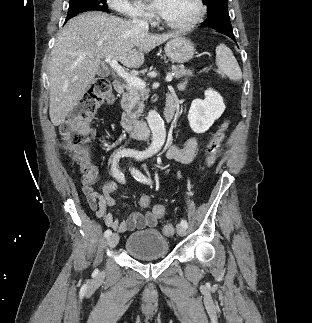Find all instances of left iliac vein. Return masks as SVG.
Segmentation results:
<instances>
[{"label": "left iliac vein", "mask_w": 312, "mask_h": 323, "mask_svg": "<svg viewBox=\"0 0 312 323\" xmlns=\"http://www.w3.org/2000/svg\"><path fill=\"white\" fill-rule=\"evenodd\" d=\"M177 233L180 235V236H185L186 234V228L183 227L181 224H178L177 225Z\"/></svg>", "instance_id": "1"}]
</instances>
